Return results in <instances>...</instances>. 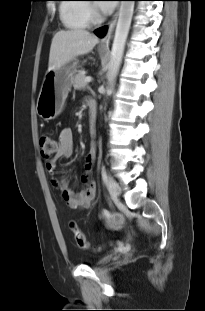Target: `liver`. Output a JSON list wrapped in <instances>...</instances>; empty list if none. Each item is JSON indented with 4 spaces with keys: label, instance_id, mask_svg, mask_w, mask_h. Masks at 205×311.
Returning <instances> with one entry per match:
<instances>
[{
    "label": "liver",
    "instance_id": "6515ba94",
    "mask_svg": "<svg viewBox=\"0 0 205 311\" xmlns=\"http://www.w3.org/2000/svg\"><path fill=\"white\" fill-rule=\"evenodd\" d=\"M98 42L97 36L82 29L57 32L50 47L48 70H57L75 57L88 54Z\"/></svg>",
    "mask_w": 205,
    "mask_h": 311
}]
</instances>
